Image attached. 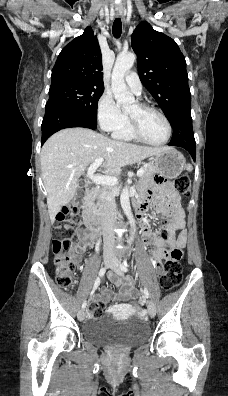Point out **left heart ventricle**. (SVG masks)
I'll use <instances>...</instances> for the list:
<instances>
[{"mask_svg": "<svg viewBox=\"0 0 228 396\" xmlns=\"http://www.w3.org/2000/svg\"><path fill=\"white\" fill-rule=\"evenodd\" d=\"M128 115L135 121L142 135L151 142H161L167 134L163 119L152 111L142 110L135 104Z\"/></svg>", "mask_w": 228, "mask_h": 396, "instance_id": "obj_1", "label": "left heart ventricle"}]
</instances>
